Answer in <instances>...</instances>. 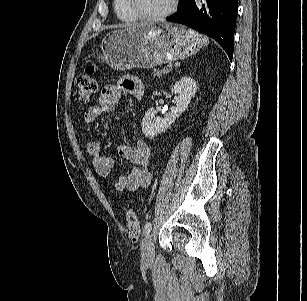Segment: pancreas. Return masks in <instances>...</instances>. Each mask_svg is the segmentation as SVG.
<instances>
[{"label": "pancreas", "mask_w": 307, "mask_h": 301, "mask_svg": "<svg viewBox=\"0 0 307 301\" xmlns=\"http://www.w3.org/2000/svg\"><path fill=\"white\" fill-rule=\"evenodd\" d=\"M169 72V69L167 68H158V69H154V72H153V78L155 77H158L160 78L162 76V74H167Z\"/></svg>", "instance_id": "pancreas-1"}]
</instances>
